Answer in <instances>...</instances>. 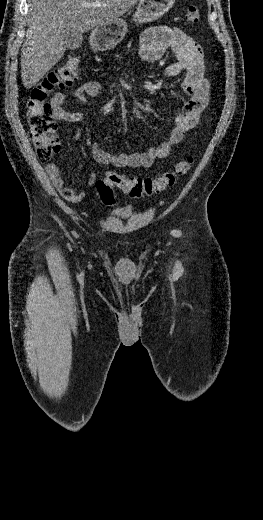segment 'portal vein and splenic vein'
<instances>
[{
	"mask_svg": "<svg viewBox=\"0 0 263 520\" xmlns=\"http://www.w3.org/2000/svg\"><path fill=\"white\" fill-rule=\"evenodd\" d=\"M86 5L89 7H100L102 5V3L94 2V3H90V4H86Z\"/></svg>",
	"mask_w": 263,
	"mask_h": 520,
	"instance_id": "18ae733b",
	"label": "portal vein and splenic vein"
}]
</instances>
